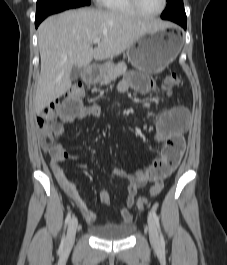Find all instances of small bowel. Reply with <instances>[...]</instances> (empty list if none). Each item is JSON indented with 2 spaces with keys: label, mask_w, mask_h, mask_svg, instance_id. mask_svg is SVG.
<instances>
[{
  "label": "small bowel",
  "mask_w": 227,
  "mask_h": 265,
  "mask_svg": "<svg viewBox=\"0 0 227 265\" xmlns=\"http://www.w3.org/2000/svg\"><path fill=\"white\" fill-rule=\"evenodd\" d=\"M154 88V82L147 77L146 72H127V75L118 84V91L125 93L132 89L141 94H148ZM82 91H71V96H64L59 105V113H62L61 121L51 127L53 138H59L66 126L86 117H97L101 114L99 106H88L81 99ZM189 115L184 107H172L161 112L156 119V128L154 139L162 144L161 153L150 163L126 171L121 168H114L112 174L127 181V193L125 197L126 207L119 212V220L122 224L130 223L132 214L130 208L135 204L138 189L149 182L157 181L160 177L167 175L172 169L164 164L167 154H182L184 141L182 134L188 125ZM50 156V167L59 186L64 190L73 204L79 209L82 215L89 223L96 220V214L87 207L78 194L75 186L69 181L63 172L60 164L67 160H76L81 166H87L85 162L77 160L67 150L58 143L49 148H44ZM99 200L102 204L108 206L111 203V197L108 191L102 190L99 193Z\"/></svg>",
  "instance_id": "obj_1"
}]
</instances>
